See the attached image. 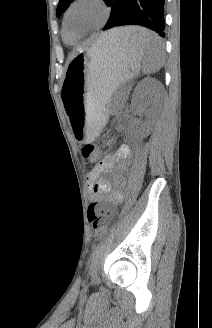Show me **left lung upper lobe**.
<instances>
[{
    "instance_id": "5c2ea615",
    "label": "left lung upper lobe",
    "mask_w": 212,
    "mask_h": 328,
    "mask_svg": "<svg viewBox=\"0 0 212 328\" xmlns=\"http://www.w3.org/2000/svg\"><path fill=\"white\" fill-rule=\"evenodd\" d=\"M73 1L74 0H60L57 7L56 16L59 17Z\"/></svg>"
}]
</instances>
